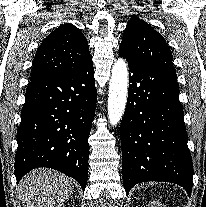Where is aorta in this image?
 <instances>
[{"label": "aorta", "mask_w": 206, "mask_h": 207, "mask_svg": "<svg viewBox=\"0 0 206 207\" xmlns=\"http://www.w3.org/2000/svg\"><path fill=\"white\" fill-rule=\"evenodd\" d=\"M128 93V68L124 59H118L113 68L109 84L108 119L116 126L125 111Z\"/></svg>", "instance_id": "aorta-1"}]
</instances>
